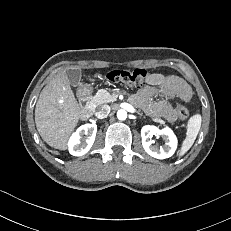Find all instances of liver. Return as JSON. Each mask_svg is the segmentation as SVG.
<instances>
[{"label": "liver", "mask_w": 231, "mask_h": 231, "mask_svg": "<svg viewBox=\"0 0 231 231\" xmlns=\"http://www.w3.org/2000/svg\"><path fill=\"white\" fill-rule=\"evenodd\" d=\"M85 118L66 71H60L43 88L36 103L35 123L40 136L49 146L66 150L71 133Z\"/></svg>", "instance_id": "1"}]
</instances>
